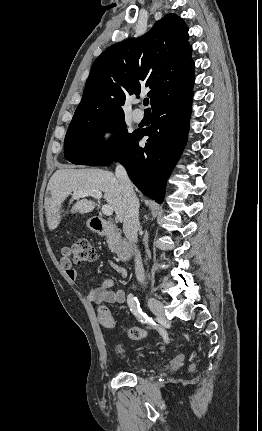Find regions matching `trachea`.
<instances>
[{
  "label": "trachea",
  "instance_id": "trachea-1",
  "mask_svg": "<svg viewBox=\"0 0 262 431\" xmlns=\"http://www.w3.org/2000/svg\"><path fill=\"white\" fill-rule=\"evenodd\" d=\"M148 103H149V99H148V98H145V99H144V102H143L144 106H147V105H148ZM147 110H149V109H147Z\"/></svg>",
  "mask_w": 262,
  "mask_h": 431
}]
</instances>
